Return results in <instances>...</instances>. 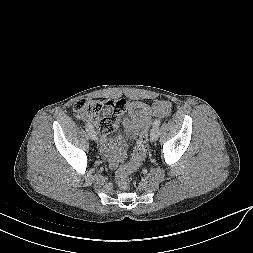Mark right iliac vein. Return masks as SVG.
I'll list each match as a JSON object with an SVG mask.
<instances>
[{
	"instance_id": "63e3f726",
	"label": "right iliac vein",
	"mask_w": 253,
	"mask_h": 253,
	"mask_svg": "<svg viewBox=\"0 0 253 253\" xmlns=\"http://www.w3.org/2000/svg\"><path fill=\"white\" fill-rule=\"evenodd\" d=\"M88 136L91 140L96 141L98 139V134L95 130H90Z\"/></svg>"
}]
</instances>
